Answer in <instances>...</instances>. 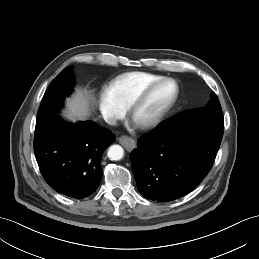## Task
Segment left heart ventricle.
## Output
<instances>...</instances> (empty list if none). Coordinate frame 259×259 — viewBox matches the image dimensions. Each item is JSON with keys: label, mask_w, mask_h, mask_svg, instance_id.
Returning a JSON list of instances; mask_svg holds the SVG:
<instances>
[{"label": "left heart ventricle", "mask_w": 259, "mask_h": 259, "mask_svg": "<svg viewBox=\"0 0 259 259\" xmlns=\"http://www.w3.org/2000/svg\"><path fill=\"white\" fill-rule=\"evenodd\" d=\"M176 87L168 82L152 91L146 101L137 109L134 115L135 123H143L153 118L174 96Z\"/></svg>", "instance_id": "b2bd125f"}]
</instances>
